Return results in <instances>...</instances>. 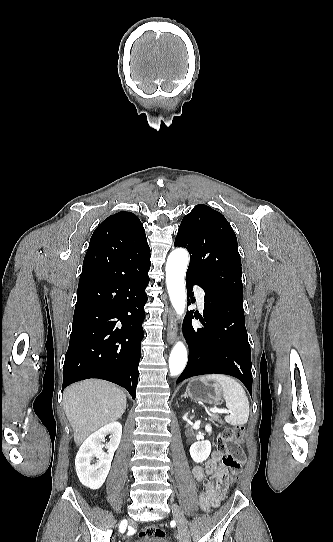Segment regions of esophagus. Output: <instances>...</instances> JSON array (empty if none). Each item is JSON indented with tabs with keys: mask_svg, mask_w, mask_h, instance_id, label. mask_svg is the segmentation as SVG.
Returning <instances> with one entry per match:
<instances>
[{
	"mask_svg": "<svg viewBox=\"0 0 333 542\" xmlns=\"http://www.w3.org/2000/svg\"><path fill=\"white\" fill-rule=\"evenodd\" d=\"M177 321L175 313L171 310L168 314V328H167V340L169 343H173L177 336Z\"/></svg>",
	"mask_w": 333,
	"mask_h": 542,
	"instance_id": "34e87169",
	"label": "esophagus"
}]
</instances>
